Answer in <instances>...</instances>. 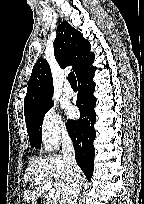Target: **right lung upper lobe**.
Instances as JSON below:
<instances>
[{"label":"right lung upper lobe","mask_w":144,"mask_h":204,"mask_svg":"<svg viewBox=\"0 0 144 204\" xmlns=\"http://www.w3.org/2000/svg\"><path fill=\"white\" fill-rule=\"evenodd\" d=\"M54 40L55 58L61 68L72 65L77 78L92 66L94 54L90 43L67 21L57 28ZM53 84L48 62L39 59L33 67L24 101L25 119L52 102Z\"/></svg>","instance_id":"obj_1"}]
</instances>
